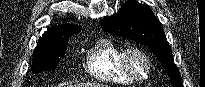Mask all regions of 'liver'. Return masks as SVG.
<instances>
[{
  "label": "liver",
  "mask_w": 205,
  "mask_h": 87,
  "mask_svg": "<svg viewBox=\"0 0 205 87\" xmlns=\"http://www.w3.org/2000/svg\"><path fill=\"white\" fill-rule=\"evenodd\" d=\"M65 87V86H64ZM66 87H104L102 84L88 83V84H78V85H67Z\"/></svg>",
  "instance_id": "obj_1"
}]
</instances>
